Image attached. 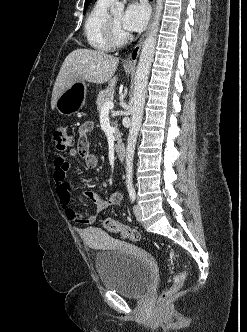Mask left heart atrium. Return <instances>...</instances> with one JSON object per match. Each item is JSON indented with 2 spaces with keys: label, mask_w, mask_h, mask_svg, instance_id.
<instances>
[{
  "label": "left heart atrium",
  "mask_w": 247,
  "mask_h": 332,
  "mask_svg": "<svg viewBox=\"0 0 247 332\" xmlns=\"http://www.w3.org/2000/svg\"><path fill=\"white\" fill-rule=\"evenodd\" d=\"M149 19V9L144 2H132L123 14L122 25L130 32L142 30Z\"/></svg>",
  "instance_id": "left-heart-atrium-1"
}]
</instances>
